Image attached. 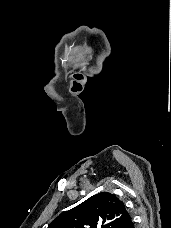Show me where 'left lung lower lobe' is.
I'll use <instances>...</instances> for the list:
<instances>
[{"instance_id": "0a47b994", "label": "left lung lower lobe", "mask_w": 171, "mask_h": 228, "mask_svg": "<svg viewBox=\"0 0 171 228\" xmlns=\"http://www.w3.org/2000/svg\"><path fill=\"white\" fill-rule=\"evenodd\" d=\"M122 228H134V223L132 219H128L126 223L122 226Z\"/></svg>"}]
</instances>
